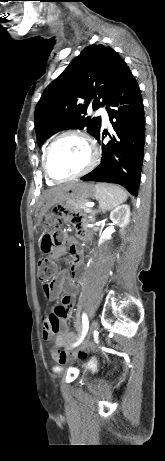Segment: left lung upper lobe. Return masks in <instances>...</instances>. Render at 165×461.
<instances>
[{
  "instance_id": "5c2ea615",
  "label": "left lung upper lobe",
  "mask_w": 165,
  "mask_h": 461,
  "mask_svg": "<svg viewBox=\"0 0 165 461\" xmlns=\"http://www.w3.org/2000/svg\"><path fill=\"white\" fill-rule=\"evenodd\" d=\"M126 62L111 47L90 45L44 90L35 108V130L39 144L58 131L83 129L95 138L100 117H86L106 105L118 87Z\"/></svg>"
}]
</instances>
